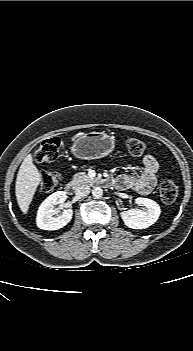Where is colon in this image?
Instances as JSON below:
<instances>
[{
    "label": "colon",
    "mask_w": 193,
    "mask_h": 351,
    "mask_svg": "<svg viewBox=\"0 0 193 351\" xmlns=\"http://www.w3.org/2000/svg\"><path fill=\"white\" fill-rule=\"evenodd\" d=\"M127 150L132 156H140L146 150V144L138 138H129L126 141ZM61 140L58 137H50L43 140L36 151V159L39 162H50L55 160L60 153ZM60 174L55 171L43 172L39 185V192L47 194L56 189L60 182ZM159 194L166 203L175 201L178 195V187L175 179L168 175L160 184Z\"/></svg>",
    "instance_id": "5ec220e1"
}]
</instances>
